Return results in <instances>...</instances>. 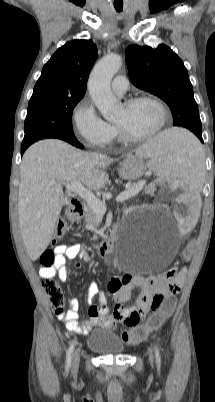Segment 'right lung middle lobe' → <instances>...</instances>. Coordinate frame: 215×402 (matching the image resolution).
<instances>
[{
    "instance_id": "dd1d6c3e",
    "label": "right lung middle lobe",
    "mask_w": 215,
    "mask_h": 402,
    "mask_svg": "<svg viewBox=\"0 0 215 402\" xmlns=\"http://www.w3.org/2000/svg\"><path fill=\"white\" fill-rule=\"evenodd\" d=\"M81 99L48 94L32 96L22 145H31L44 138L73 139L72 112Z\"/></svg>"
}]
</instances>
